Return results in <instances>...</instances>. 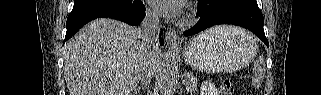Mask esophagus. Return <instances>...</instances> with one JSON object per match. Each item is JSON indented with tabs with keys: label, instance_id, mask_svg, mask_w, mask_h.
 <instances>
[{
	"label": "esophagus",
	"instance_id": "34e87169",
	"mask_svg": "<svg viewBox=\"0 0 321 95\" xmlns=\"http://www.w3.org/2000/svg\"><path fill=\"white\" fill-rule=\"evenodd\" d=\"M165 40L169 46L176 47L179 45L178 35L175 30L168 29L165 33Z\"/></svg>",
	"mask_w": 321,
	"mask_h": 95
}]
</instances>
